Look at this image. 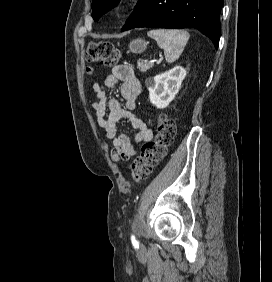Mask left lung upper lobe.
<instances>
[{
	"label": "left lung upper lobe",
	"mask_w": 272,
	"mask_h": 282,
	"mask_svg": "<svg viewBox=\"0 0 272 282\" xmlns=\"http://www.w3.org/2000/svg\"><path fill=\"white\" fill-rule=\"evenodd\" d=\"M120 0H93L92 7V17L97 21L103 14L115 7Z\"/></svg>",
	"instance_id": "obj_1"
}]
</instances>
